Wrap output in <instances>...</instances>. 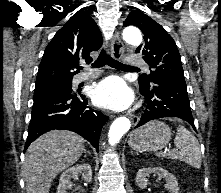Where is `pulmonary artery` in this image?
I'll use <instances>...</instances> for the list:
<instances>
[{"label": "pulmonary artery", "mask_w": 221, "mask_h": 193, "mask_svg": "<svg viewBox=\"0 0 221 193\" xmlns=\"http://www.w3.org/2000/svg\"><path fill=\"white\" fill-rule=\"evenodd\" d=\"M128 62L132 65L142 66L143 69L148 70V66L144 63L143 59L139 55L134 54L128 56ZM100 75H101L100 71L83 72L76 75L73 78L72 83L74 86H77L84 81L92 80L94 78L99 77Z\"/></svg>", "instance_id": "pulmonary-artery-1"}]
</instances>
